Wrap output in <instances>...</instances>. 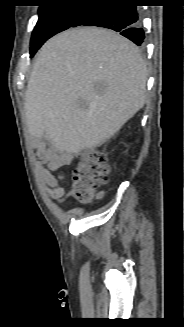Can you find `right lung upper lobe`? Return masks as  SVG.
I'll return each mask as SVG.
<instances>
[{
	"label": "right lung upper lobe",
	"mask_w": 184,
	"mask_h": 327,
	"mask_svg": "<svg viewBox=\"0 0 184 327\" xmlns=\"http://www.w3.org/2000/svg\"><path fill=\"white\" fill-rule=\"evenodd\" d=\"M43 1L50 2V1H56V0H43ZM93 1H96V0H93Z\"/></svg>",
	"instance_id": "right-lung-upper-lobe-1"
}]
</instances>
